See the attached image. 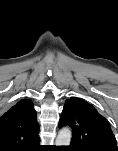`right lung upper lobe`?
Instances as JSON below:
<instances>
[{
	"instance_id": "1",
	"label": "right lung upper lobe",
	"mask_w": 118,
	"mask_h": 151,
	"mask_svg": "<svg viewBox=\"0 0 118 151\" xmlns=\"http://www.w3.org/2000/svg\"><path fill=\"white\" fill-rule=\"evenodd\" d=\"M33 103L19 101L0 117V151H33L40 138Z\"/></svg>"
}]
</instances>
